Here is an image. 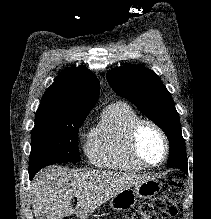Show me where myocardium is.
I'll use <instances>...</instances> for the list:
<instances>
[{
	"label": "myocardium",
	"mask_w": 211,
	"mask_h": 219,
	"mask_svg": "<svg viewBox=\"0 0 211 219\" xmlns=\"http://www.w3.org/2000/svg\"><path fill=\"white\" fill-rule=\"evenodd\" d=\"M143 126H150L156 130V132L161 136L163 145H164V152L162 159L156 164L147 163L141 156L139 147H138V136L139 132ZM129 149L133 156V158L144 168H158L165 164L169 157L170 153V144L167 137V134L163 130V128L157 124L155 121L150 119H138L130 128L129 132Z\"/></svg>",
	"instance_id": "f54148a6"
}]
</instances>
